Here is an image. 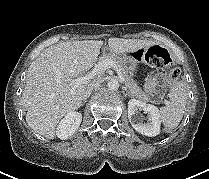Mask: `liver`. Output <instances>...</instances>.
<instances>
[{
    "label": "liver",
    "instance_id": "1",
    "mask_svg": "<svg viewBox=\"0 0 209 179\" xmlns=\"http://www.w3.org/2000/svg\"><path fill=\"white\" fill-rule=\"evenodd\" d=\"M103 41L62 42L43 50L28 69L21 102L27 108L26 121L38 134L53 139L63 116L77 110L90 80L76 87L79 78L96 63ZM147 40L109 38L108 49L122 55L147 48Z\"/></svg>",
    "mask_w": 209,
    "mask_h": 179
}]
</instances>
